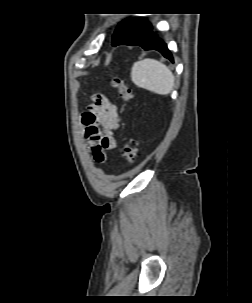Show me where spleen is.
<instances>
[{"label": "spleen", "mask_w": 252, "mask_h": 303, "mask_svg": "<svg viewBox=\"0 0 252 303\" xmlns=\"http://www.w3.org/2000/svg\"><path fill=\"white\" fill-rule=\"evenodd\" d=\"M132 82L141 88L159 95H168L174 86V76L170 69L155 59H143L133 64Z\"/></svg>", "instance_id": "3e777b00"}]
</instances>
